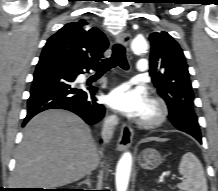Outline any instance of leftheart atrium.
<instances>
[{
    "label": "left heart atrium",
    "instance_id": "left-heart-atrium-1",
    "mask_svg": "<svg viewBox=\"0 0 218 191\" xmlns=\"http://www.w3.org/2000/svg\"><path fill=\"white\" fill-rule=\"evenodd\" d=\"M107 104L128 116L141 117L149 104V98L143 87L121 84L109 93Z\"/></svg>",
    "mask_w": 218,
    "mask_h": 191
}]
</instances>
